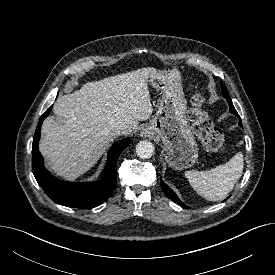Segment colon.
Listing matches in <instances>:
<instances>
[{
  "label": "colon",
  "instance_id": "1",
  "mask_svg": "<svg viewBox=\"0 0 275 275\" xmlns=\"http://www.w3.org/2000/svg\"><path fill=\"white\" fill-rule=\"evenodd\" d=\"M188 117L191 121L193 132L207 150L212 152L224 150V135L218 128L214 127L209 119L205 110V96L203 94H196L192 97Z\"/></svg>",
  "mask_w": 275,
  "mask_h": 275
}]
</instances>
